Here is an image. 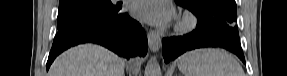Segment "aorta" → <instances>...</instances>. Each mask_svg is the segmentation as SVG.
Wrapping results in <instances>:
<instances>
[{
    "instance_id": "aorta-1",
    "label": "aorta",
    "mask_w": 287,
    "mask_h": 76,
    "mask_svg": "<svg viewBox=\"0 0 287 76\" xmlns=\"http://www.w3.org/2000/svg\"><path fill=\"white\" fill-rule=\"evenodd\" d=\"M144 76H161V68L156 57H151L145 67Z\"/></svg>"
}]
</instances>
